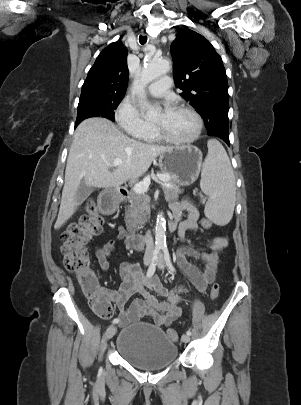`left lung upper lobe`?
Returning <instances> with one entry per match:
<instances>
[{"label":"left lung upper lobe","mask_w":301,"mask_h":405,"mask_svg":"<svg viewBox=\"0 0 301 405\" xmlns=\"http://www.w3.org/2000/svg\"><path fill=\"white\" fill-rule=\"evenodd\" d=\"M180 95L202 116L210 136L229 135L228 83L222 59L202 35L186 28L171 44Z\"/></svg>","instance_id":"obj_1"}]
</instances>
